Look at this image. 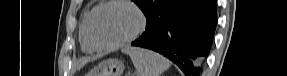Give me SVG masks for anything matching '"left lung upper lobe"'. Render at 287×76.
<instances>
[{
    "label": "left lung upper lobe",
    "instance_id": "5c2ea615",
    "mask_svg": "<svg viewBox=\"0 0 287 76\" xmlns=\"http://www.w3.org/2000/svg\"><path fill=\"white\" fill-rule=\"evenodd\" d=\"M148 18L154 11L160 9L171 0H133Z\"/></svg>",
    "mask_w": 287,
    "mask_h": 76
}]
</instances>
